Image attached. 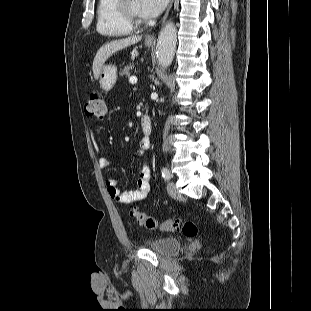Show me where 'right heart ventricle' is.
Here are the masks:
<instances>
[{
  "label": "right heart ventricle",
  "mask_w": 311,
  "mask_h": 311,
  "mask_svg": "<svg viewBox=\"0 0 311 311\" xmlns=\"http://www.w3.org/2000/svg\"><path fill=\"white\" fill-rule=\"evenodd\" d=\"M119 2V0H98L96 28L100 34L109 37H122L132 32V28L121 15Z\"/></svg>",
  "instance_id": "right-heart-ventricle-1"
}]
</instances>
